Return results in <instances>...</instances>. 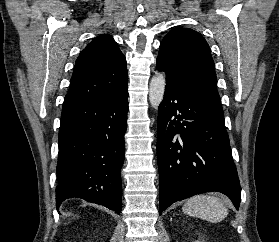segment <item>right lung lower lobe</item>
Here are the masks:
<instances>
[{"instance_id":"98d812e1","label":"right lung lower lobe","mask_w":279,"mask_h":242,"mask_svg":"<svg viewBox=\"0 0 279 242\" xmlns=\"http://www.w3.org/2000/svg\"><path fill=\"white\" fill-rule=\"evenodd\" d=\"M128 90L62 108L57 163V208L81 198L120 214Z\"/></svg>"}]
</instances>
